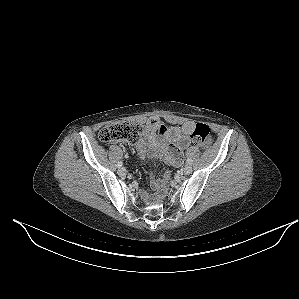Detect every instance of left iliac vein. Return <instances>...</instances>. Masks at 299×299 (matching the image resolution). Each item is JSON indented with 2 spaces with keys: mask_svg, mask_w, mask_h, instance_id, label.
<instances>
[{
  "mask_svg": "<svg viewBox=\"0 0 299 299\" xmlns=\"http://www.w3.org/2000/svg\"><path fill=\"white\" fill-rule=\"evenodd\" d=\"M191 172H192V166L189 165V164L185 165V167L183 168V173L186 174V175H188Z\"/></svg>",
  "mask_w": 299,
  "mask_h": 299,
  "instance_id": "left-iliac-vein-1",
  "label": "left iliac vein"
}]
</instances>
